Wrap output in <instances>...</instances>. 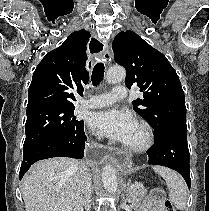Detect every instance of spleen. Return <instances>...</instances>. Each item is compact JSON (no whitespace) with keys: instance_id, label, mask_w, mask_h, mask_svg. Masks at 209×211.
I'll use <instances>...</instances> for the list:
<instances>
[{"instance_id":"spleen-1","label":"spleen","mask_w":209,"mask_h":211,"mask_svg":"<svg viewBox=\"0 0 209 211\" xmlns=\"http://www.w3.org/2000/svg\"><path fill=\"white\" fill-rule=\"evenodd\" d=\"M153 169L165 180L169 189V198L175 207L178 210H184L186 208L188 190L183 178L166 167L154 166Z\"/></svg>"}]
</instances>
